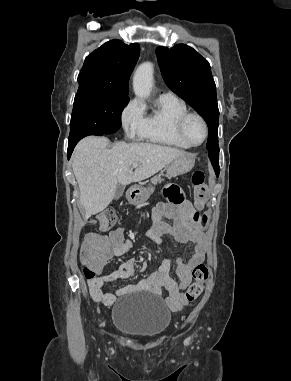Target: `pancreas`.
<instances>
[{
	"label": "pancreas",
	"instance_id": "obj_1",
	"mask_svg": "<svg viewBox=\"0 0 291 381\" xmlns=\"http://www.w3.org/2000/svg\"><path fill=\"white\" fill-rule=\"evenodd\" d=\"M152 183L156 185L157 183H160L162 181L160 176H155L151 179Z\"/></svg>",
	"mask_w": 291,
	"mask_h": 381
}]
</instances>
